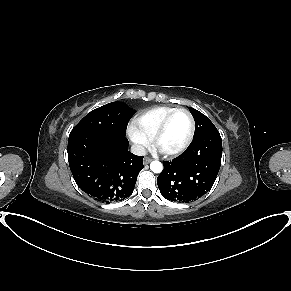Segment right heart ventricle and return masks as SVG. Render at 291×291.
<instances>
[{
	"label": "right heart ventricle",
	"instance_id": "obj_1",
	"mask_svg": "<svg viewBox=\"0 0 291 291\" xmlns=\"http://www.w3.org/2000/svg\"><path fill=\"white\" fill-rule=\"evenodd\" d=\"M175 107L171 106H158L151 108L141 114H139L135 120V126L149 139L151 140L156 133L158 127L164 120V118L173 110Z\"/></svg>",
	"mask_w": 291,
	"mask_h": 291
}]
</instances>
